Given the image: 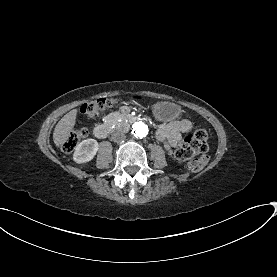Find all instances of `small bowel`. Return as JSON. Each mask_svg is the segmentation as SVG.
I'll list each match as a JSON object with an SVG mask.
<instances>
[{"label":"small bowel","mask_w":277,"mask_h":277,"mask_svg":"<svg viewBox=\"0 0 277 277\" xmlns=\"http://www.w3.org/2000/svg\"><path fill=\"white\" fill-rule=\"evenodd\" d=\"M193 130V123L188 119L176 118L175 120L160 125L155 132V137L171 154L181 142L182 136Z\"/></svg>","instance_id":"1"}]
</instances>
